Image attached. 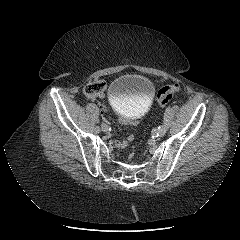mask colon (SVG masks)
Masks as SVG:
<instances>
[{
  "label": "colon",
  "instance_id": "obj_1",
  "mask_svg": "<svg viewBox=\"0 0 240 240\" xmlns=\"http://www.w3.org/2000/svg\"><path fill=\"white\" fill-rule=\"evenodd\" d=\"M105 85L102 81L95 80L88 83L85 88L84 92L88 97L91 98H98L100 93H104ZM180 91L179 84H171L162 87L157 94V101L158 104L163 107L165 106L173 97L174 94Z\"/></svg>",
  "mask_w": 240,
  "mask_h": 240
}]
</instances>
